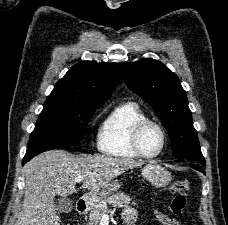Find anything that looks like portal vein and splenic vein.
<instances>
[{"label":"portal vein and splenic vein","mask_w":228,"mask_h":225,"mask_svg":"<svg viewBox=\"0 0 228 225\" xmlns=\"http://www.w3.org/2000/svg\"><path fill=\"white\" fill-rule=\"evenodd\" d=\"M83 181V177H76L75 183H81Z\"/></svg>","instance_id":"18ae733b"}]
</instances>
